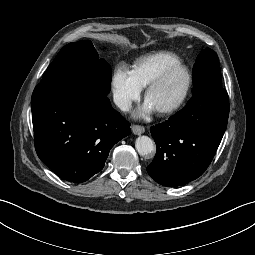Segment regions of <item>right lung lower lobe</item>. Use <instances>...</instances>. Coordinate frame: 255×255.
Listing matches in <instances>:
<instances>
[{
    "label": "right lung lower lobe",
    "instance_id": "1",
    "mask_svg": "<svg viewBox=\"0 0 255 255\" xmlns=\"http://www.w3.org/2000/svg\"><path fill=\"white\" fill-rule=\"evenodd\" d=\"M31 105L37 155L69 182L82 183L102 170L113 145L130 133L107 96L79 84L41 82Z\"/></svg>",
    "mask_w": 255,
    "mask_h": 255
}]
</instances>
